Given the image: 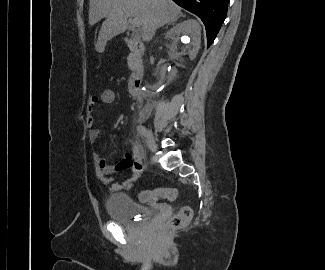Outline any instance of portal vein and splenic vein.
<instances>
[{
    "label": "portal vein and splenic vein",
    "mask_w": 325,
    "mask_h": 270,
    "mask_svg": "<svg viewBox=\"0 0 325 270\" xmlns=\"http://www.w3.org/2000/svg\"><path fill=\"white\" fill-rule=\"evenodd\" d=\"M129 21L131 22V24L134 27H139L140 26V22H139V20L137 18L130 19Z\"/></svg>",
    "instance_id": "18ae733b"
}]
</instances>
